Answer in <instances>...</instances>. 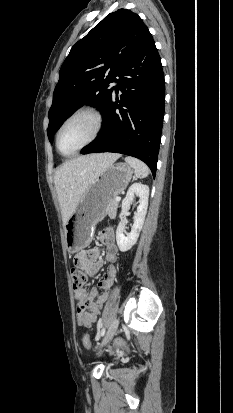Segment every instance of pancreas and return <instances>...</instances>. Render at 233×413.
I'll return each mask as SVG.
<instances>
[{"label":"pancreas","instance_id":"pancreas-1","mask_svg":"<svg viewBox=\"0 0 233 413\" xmlns=\"http://www.w3.org/2000/svg\"><path fill=\"white\" fill-rule=\"evenodd\" d=\"M118 208V202L114 199L108 202L107 212L109 216L114 217Z\"/></svg>","mask_w":233,"mask_h":413}]
</instances>
